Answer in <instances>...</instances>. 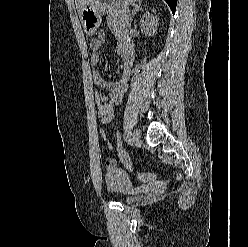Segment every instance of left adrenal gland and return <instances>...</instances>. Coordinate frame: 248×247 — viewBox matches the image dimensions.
<instances>
[{
  "label": "left adrenal gland",
  "instance_id": "left-adrenal-gland-1",
  "mask_svg": "<svg viewBox=\"0 0 248 247\" xmlns=\"http://www.w3.org/2000/svg\"><path fill=\"white\" fill-rule=\"evenodd\" d=\"M141 9H142V7H141V4H140V2H139L138 5L135 6V8H134V10H133V12H132L131 21H132V18L135 16V14H136L138 11H140Z\"/></svg>",
  "mask_w": 248,
  "mask_h": 247
}]
</instances>
